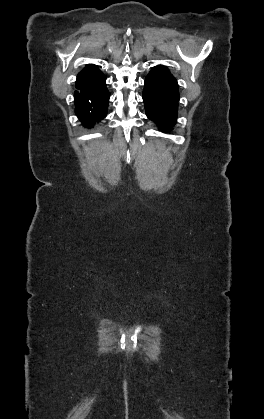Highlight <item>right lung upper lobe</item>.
I'll return each instance as SVG.
<instances>
[{
	"label": "right lung upper lobe",
	"mask_w": 264,
	"mask_h": 419,
	"mask_svg": "<svg viewBox=\"0 0 264 419\" xmlns=\"http://www.w3.org/2000/svg\"><path fill=\"white\" fill-rule=\"evenodd\" d=\"M102 72L97 68L96 65H87L77 76V82H88L99 75Z\"/></svg>",
	"instance_id": "cb5924a9"
}]
</instances>
